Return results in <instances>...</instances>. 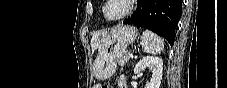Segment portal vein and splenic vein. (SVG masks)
<instances>
[{
  "instance_id": "1",
  "label": "portal vein and splenic vein",
  "mask_w": 227,
  "mask_h": 88,
  "mask_svg": "<svg viewBox=\"0 0 227 88\" xmlns=\"http://www.w3.org/2000/svg\"><path fill=\"white\" fill-rule=\"evenodd\" d=\"M128 56H129V57H133V54L129 53Z\"/></svg>"
}]
</instances>
